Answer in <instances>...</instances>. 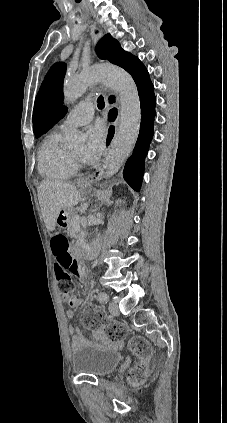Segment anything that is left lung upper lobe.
I'll list each match as a JSON object with an SVG mask.
<instances>
[{"mask_svg": "<svg viewBox=\"0 0 227 423\" xmlns=\"http://www.w3.org/2000/svg\"><path fill=\"white\" fill-rule=\"evenodd\" d=\"M96 51L101 59H107L111 63L124 68L132 75L135 83H138L148 73L140 60L124 51L118 41L109 34L101 39ZM65 70L66 65L64 63L54 64L36 96L33 110V125L36 137L46 133L67 112V109L62 105ZM110 102H114L113 96L110 97Z\"/></svg>", "mask_w": 227, "mask_h": 423, "instance_id": "left-lung-upper-lobe-1", "label": "left lung upper lobe"}]
</instances>
